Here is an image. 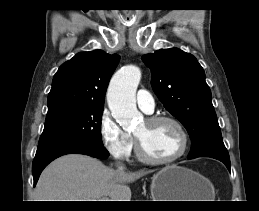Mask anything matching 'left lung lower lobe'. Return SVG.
Here are the masks:
<instances>
[{"label":"left lung lower lobe","mask_w":259,"mask_h":211,"mask_svg":"<svg viewBox=\"0 0 259 211\" xmlns=\"http://www.w3.org/2000/svg\"><path fill=\"white\" fill-rule=\"evenodd\" d=\"M197 157H211V158L220 160L221 162H223L226 165V167L230 171V165L231 164H230L229 156H221V155H216V154H204V155H200V156H197ZM197 157H192V158L188 157V159H194V158H197Z\"/></svg>","instance_id":"obj_1"}]
</instances>
